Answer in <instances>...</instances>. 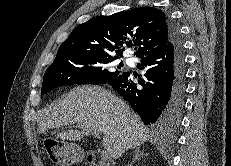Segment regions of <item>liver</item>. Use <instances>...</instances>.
<instances>
[{
	"mask_svg": "<svg viewBox=\"0 0 231 166\" xmlns=\"http://www.w3.org/2000/svg\"><path fill=\"white\" fill-rule=\"evenodd\" d=\"M72 124L81 131L68 130L56 137L80 141L91 133H103L102 144L114 159L151 138L139 115L100 86H78L45 108L40 116L38 132L46 135L50 129Z\"/></svg>",
	"mask_w": 231,
	"mask_h": 166,
	"instance_id": "obj_1",
	"label": "liver"
}]
</instances>
